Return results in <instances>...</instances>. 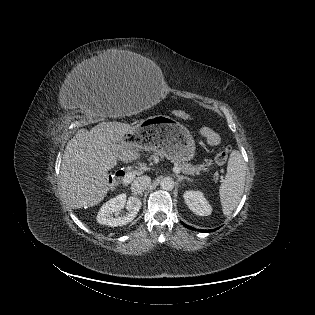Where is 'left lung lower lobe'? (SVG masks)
Segmentation results:
<instances>
[{"label": "left lung lower lobe", "mask_w": 315, "mask_h": 315, "mask_svg": "<svg viewBox=\"0 0 315 315\" xmlns=\"http://www.w3.org/2000/svg\"><path fill=\"white\" fill-rule=\"evenodd\" d=\"M181 223H182L185 227H187V228H189V229H191V230H194L193 227L188 226V225L184 224L183 222H181ZM215 230H217V229H213V230H201V229H197V231H199V232H212V231H215Z\"/></svg>", "instance_id": "obj_1"}]
</instances>
